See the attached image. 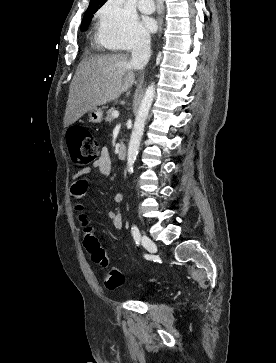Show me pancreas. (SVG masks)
<instances>
[{
  "label": "pancreas",
  "mask_w": 276,
  "mask_h": 363,
  "mask_svg": "<svg viewBox=\"0 0 276 363\" xmlns=\"http://www.w3.org/2000/svg\"><path fill=\"white\" fill-rule=\"evenodd\" d=\"M113 111H115V109L114 108H111V109H109L108 111H107V116L105 117V121L106 122H112L113 121V116H112V113H113Z\"/></svg>",
  "instance_id": "obj_1"
}]
</instances>
